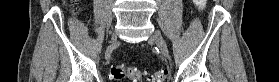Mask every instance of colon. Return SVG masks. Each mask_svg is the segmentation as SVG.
<instances>
[{
    "label": "colon",
    "mask_w": 279,
    "mask_h": 82,
    "mask_svg": "<svg viewBox=\"0 0 279 82\" xmlns=\"http://www.w3.org/2000/svg\"><path fill=\"white\" fill-rule=\"evenodd\" d=\"M199 7H203L206 4V0H195L194 1ZM73 14L77 16L80 12L79 8L75 7L73 9ZM111 75L116 81H124L126 79H130L133 82H142L144 79V73L135 68L129 67L126 68L123 65H115L111 68ZM167 75L166 70H158L153 78L152 82H163Z\"/></svg>",
    "instance_id": "1"
}]
</instances>
